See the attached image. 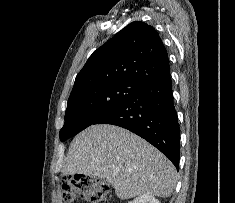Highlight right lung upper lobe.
<instances>
[{"mask_svg": "<svg viewBox=\"0 0 235 203\" xmlns=\"http://www.w3.org/2000/svg\"><path fill=\"white\" fill-rule=\"evenodd\" d=\"M169 71L168 53L157 31L135 21L89 57L76 76L72 92L114 80L145 84Z\"/></svg>", "mask_w": 235, "mask_h": 203, "instance_id": "right-lung-upper-lobe-1", "label": "right lung upper lobe"}]
</instances>
